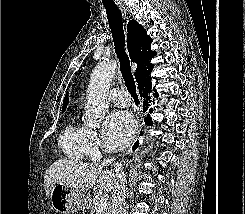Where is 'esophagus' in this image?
<instances>
[{
    "label": "esophagus",
    "mask_w": 245,
    "mask_h": 214,
    "mask_svg": "<svg viewBox=\"0 0 245 214\" xmlns=\"http://www.w3.org/2000/svg\"><path fill=\"white\" fill-rule=\"evenodd\" d=\"M119 8L121 9L122 13L124 15H126V9H125L124 5L119 4ZM144 135H145L144 126H143V124H140L139 129L137 131L136 138L134 139V141L132 142V144L128 148L127 154H129L130 156H133L138 152V150L141 147V143H142V140L144 138Z\"/></svg>",
    "instance_id": "1"
}]
</instances>
